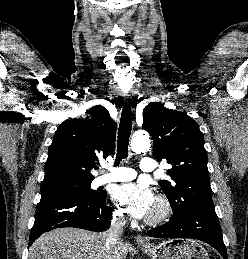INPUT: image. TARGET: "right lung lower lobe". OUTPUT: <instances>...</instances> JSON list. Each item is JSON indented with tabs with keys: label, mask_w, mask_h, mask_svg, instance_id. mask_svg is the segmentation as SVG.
I'll return each instance as SVG.
<instances>
[{
	"label": "right lung lower lobe",
	"mask_w": 248,
	"mask_h": 259,
	"mask_svg": "<svg viewBox=\"0 0 248 259\" xmlns=\"http://www.w3.org/2000/svg\"><path fill=\"white\" fill-rule=\"evenodd\" d=\"M106 196V193L97 197L60 193L42 195L36 209L29 246L43 233L60 227H75L94 232L107 230L113 209L105 204Z\"/></svg>",
	"instance_id": "1"
}]
</instances>
